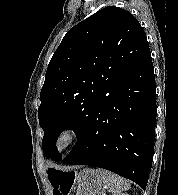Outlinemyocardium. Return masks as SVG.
<instances>
[{
  "label": "myocardium",
  "instance_id": "f54148a6",
  "mask_svg": "<svg viewBox=\"0 0 178 195\" xmlns=\"http://www.w3.org/2000/svg\"><path fill=\"white\" fill-rule=\"evenodd\" d=\"M79 139V132L72 127L63 128L55 136L53 146L58 152H65L71 148Z\"/></svg>",
  "mask_w": 178,
  "mask_h": 195
}]
</instances>
